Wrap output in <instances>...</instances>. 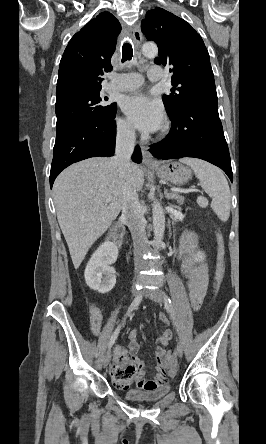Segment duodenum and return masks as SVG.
Instances as JSON below:
<instances>
[{
    "instance_id": "410a0bca",
    "label": "duodenum",
    "mask_w": 266,
    "mask_h": 444,
    "mask_svg": "<svg viewBox=\"0 0 266 444\" xmlns=\"http://www.w3.org/2000/svg\"><path fill=\"white\" fill-rule=\"evenodd\" d=\"M123 235H124L123 227H122V225H118V226L115 228V231H114V237H115V240H116L119 244H121L122 241H123Z\"/></svg>"
}]
</instances>
